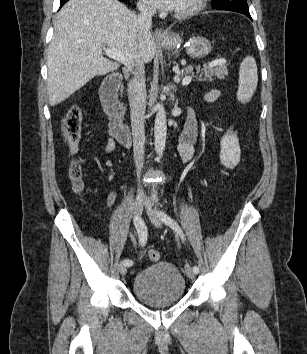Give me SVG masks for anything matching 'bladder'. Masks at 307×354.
Returning <instances> with one entry per match:
<instances>
[{"instance_id":"31cf9c89","label":"bladder","mask_w":307,"mask_h":354,"mask_svg":"<svg viewBox=\"0 0 307 354\" xmlns=\"http://www.w3.org/2000/svg\"><path fill=\"white\" fill-rule=\"evenodd\" d=\"M132 290L142 303L164 307L173 305L184 297L186 282L174 264L160 261L141 269L135 275Z\"/></svg>"}]
</instances>
